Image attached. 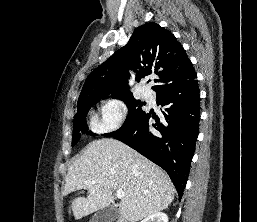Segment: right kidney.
<instances>
[{
    "label": "right kidney",
    "mask_w": 257,
    "mask_h": 222,
    "mask_svg": "<svg viewBox=\"0 0 257 222\" xmlns=\"http://www.w3.org/2000/svg\"><path fill=\"white\" fill-rule=\"evenodd\" d=\"M141 222H168V216L163 212H157L146 217Z\"/></svg>",
    "instance_id": "ca27d5eb"
}]
</instances>
